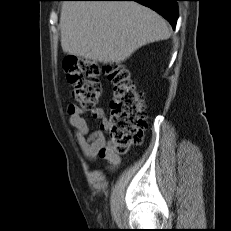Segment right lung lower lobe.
<instances>
[{
    "label": "right lung lower lobe",
    "mask_w": 231,
    "mask_h": 231,
    "mask_svg": "<svg viewBox=\"0 0 231 231\" xmlns=\"http://www.w3.org/2000/svg\"><path fill=\"white\" fill-rule=\"evenodd\" d=\"M82 1H136L162 15L170 22L173 28L176 26L178 11L176 1L178 0H82Z\"/></svg>",
    "instance_id": "right-lung-lower-lobe-1"
}]
</instances>
